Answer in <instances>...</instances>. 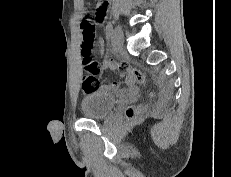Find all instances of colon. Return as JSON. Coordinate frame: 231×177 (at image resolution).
<instances>
[{
    "label": "colon",
    "mask_w": 231,
    "mask_h": 177,
    "mask_svg": "<svg viewBox=\"0 0 231 177\" xmlns=\"http://www.w3.org/2000/svg\"><path fill=\"white\" fill-rule=\"evenodd\" d=\"M82 33H83V45H82V58H83V67L85 70V74L82 77L81 87L83 92L89 93L98 89L108 90V86H102L98 79L97 75L99 74V64L97 60L92 56V51L95 42V23L90 21L89 19H85L82 24ZM113 62L112 60H110ZM117 67L121 72L128 73L129 77L139 83L144 84L146 82L145 74L131 67L127 62L120 61L117 63ZM141 108L138 107H130L127 110V115L129 117H134L137 113H139Z\"/></svg>",
    "instance_id": "colon-1"
}]
</instances>
